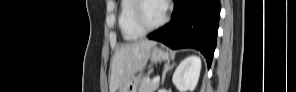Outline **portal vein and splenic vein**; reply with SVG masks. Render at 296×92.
Segmentation results:
<instances>
[{
    "mask_svg": "<svg viewBox=\"0 0 296 92\" xmlns=\"http://www.w3.org/2000/svg\"><path fill=\"white\" fill-rule=\"evenodd\" d=\"M159 81H160V77L159 76H157V77H155L153 79V83H158Z\"/></svg>",
    "mask_w": 296,
    "mask_h": 92,
    "instance_id": "portal-vein-and-splenic-vein-1",
    "label": "portal vein and splenic vein"
}]
</instances>
